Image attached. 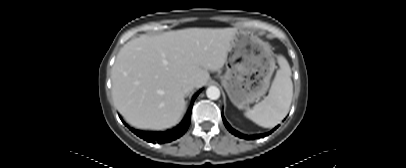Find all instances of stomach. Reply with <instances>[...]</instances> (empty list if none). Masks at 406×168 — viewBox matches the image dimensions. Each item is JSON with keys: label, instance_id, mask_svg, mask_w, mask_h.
Here are the masks:
<instances>
[{"label": "stomach", "instance_id": "obj_1", "mask_svg": "<svg viewBox=\"0 0 406 168\" xmlns=\"http://www.w3.org/2000/svg\"><path fill=\"white\" fill-rule=\"evenodd\" d=\"M275 68L270 46L253 33L237 30L221 84L231 102L243 108L265 95Z\"/></svg>", "mask_w": 406, "mask_h": 168}]
</instances>
